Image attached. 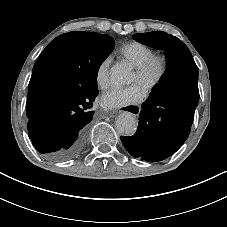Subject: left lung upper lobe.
<instances>
[{"instance_id":"left-lung-upper-lobe-1","label":"left lung upper lobe","mask_w":227,"mask_h":227,"mask_svg":"<svg viewBox=\"0 0 227 227\" xmlns=\"http://www.w3.org/2000/svg\"><path fill=\"white\" fill-rule=\"evenodd\" d=\"M133 38L150 47L164 50L167 60V69L165 73L174 66L175 59L179 53L184 52L187 56L192 57L188 47L182 41L165 32L135 34Z\"/></svg>"}]
</instances>
